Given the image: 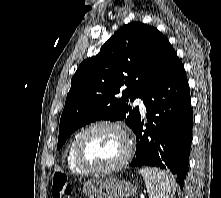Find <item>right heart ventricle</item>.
<instances>
[{"label": "right heart ventricle", "instance_id": "right-heart-ventricle-1", "mask_svg": "<svg viewBox=\"0 0 221 198\" xmlns=\"http://www.w3.org/2000/svg\"><path fill=\"white\" fill-rule=\"evenodd\" d=\"M76 136L71 139V141L69 142V144L66 148L65 161H66V165L69 168V170H71L74 173L82 174L85 172L76 164V162L74 160V156H73V145H74V141H75Z\"/></svg>", "mask_w": 221, "mask_h": 198}]
</instances>
